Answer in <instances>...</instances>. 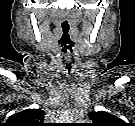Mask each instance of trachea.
Wrapping results in <instances>:
<instances>
[{
    "mask_svg": "<svg viewBox=\"0 0 135 126\" xmlns=\"http://www.w3.org/2000/svg\"><path fill=\"white\" fill-rule=\"evenodd\" d=\"M67 68H68V73H70L71 64H67Z\"/></svg>",
    "mask_w": 135,
    "mask_h": 126,
    "instance_id": "3493384b",
    "label": "trachea"
}]
</instances>
